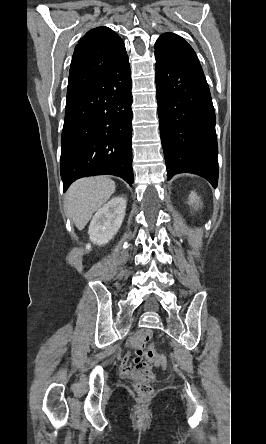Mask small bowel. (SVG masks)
I'll return each instance as SVG.
<instances>
[{"label":"small bowel","mask_w":266,"mask_h":444,"mask_svg":"<svg viewBox=\"0 0 266 444\" xmlns=\"http://www.w3.org/2000/svg\"><path fill=\"white\" fill-rule=\"evenodd\" d=\"M150 332L132 338L129 342L132 352L125 355L121 361V373L127 378L150 381L153 379L151 365L142 362L141 347L149 339Z\"/></svg>","instance_id":"small-bowel-1"}]
</instances>
